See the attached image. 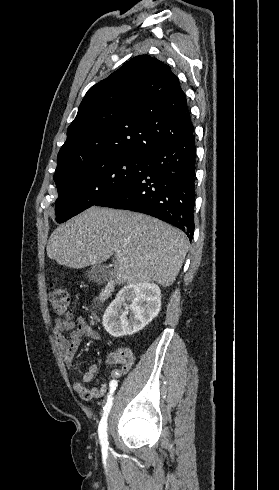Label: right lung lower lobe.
<instances>
[{
    "label": "right lung lower lobe",
    "mask_w": 279,
    "mask_h": 490,
    "mask_svg": "<svg viewBox=\"0 0 279 490\" xmlns=\"http://www.w3.org/2000/svg\"><path fill=\"white\" fill-rule=\"evenodd\" d=\"M194 133L149 158L141 176L105 196L95 206L142 212L194 234Z\"/></svg>",
    "instance_id": "right-lung-lower-lobe-1"
}]
</instances>
